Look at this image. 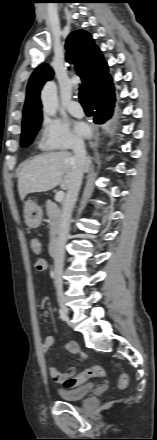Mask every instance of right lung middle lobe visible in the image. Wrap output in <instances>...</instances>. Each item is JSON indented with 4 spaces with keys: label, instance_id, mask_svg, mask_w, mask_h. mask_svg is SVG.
Returning a JSON list of instances; mask_svg holds the SVG:
<instances>
[{
    "label": "right lung middle lobe",
    "instance_id": "right-lung-middle-lobe-1",
    "mask_svg": "<svg viewBox=\"0 0 157 440\" xmlns=\"http://www.w3.org/2000/svg\"><path fill=\"white\" fill-rule=\"evenodd\" d=\"M40 122L39 123H33L26 126H22V136H21V146L26 147L28 146L34 136L36 135L37 131L40 128Z\"/></svg>",
    "mask_w": 157,
    "mask_h": 440
}]
</instances>
